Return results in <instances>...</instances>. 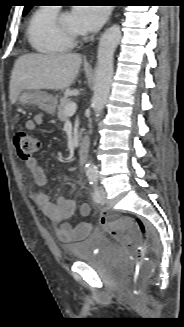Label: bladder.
Listing matches in <instances>:
<instances>
[{
  "label": "bladder",
  "mask_w": 184,
  "mask_h": 327,
  "mask_svg": "<svg viewBox=\"0 0 184 327\" xmlns=\"http://www.w3.org/2000/svg\"><path fill=\"white\" fill-rule=\"evenodd\" d=\"M66 248L76 262L92 263L102 254L108 253L115 256L121 265H127L121 252L115 249L109 237L100 231L89 232L83 241L69 244Z\"/></svg>",
  "instance_id": "1"
}]
</instances>
